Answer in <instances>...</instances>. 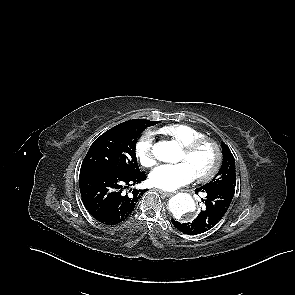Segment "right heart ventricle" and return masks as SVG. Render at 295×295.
<instances>
[{"mask_svg":"<svg viewBox=\"0 0 295 295\" xmlns=\"http://www.w3.org/2000/svg\"><path fill=\"white\" fill-rule=\"evenodd\" d=\"M159 133L164 134L176 142H178L182 147L192 143L193 141L205 137V134L186 124H171L162 127Z\"/></svg>","mask_w":295,"mask_h":295,"instance_id":"e07e8e85","label":"right heart ventricle"}]
</instances>
